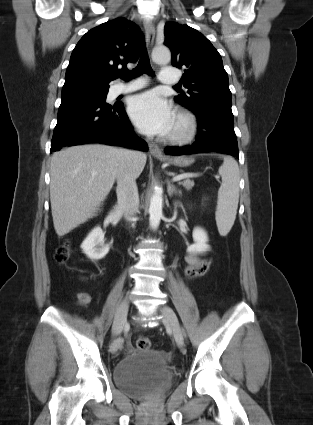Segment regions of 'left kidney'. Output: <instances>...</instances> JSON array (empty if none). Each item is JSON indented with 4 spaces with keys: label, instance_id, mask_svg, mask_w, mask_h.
Here are the masks:
<instances>
[{
    "label": "left kidney",
    "instance_id": "left-kidney-1",
    "mask_svg": "<svg viewBox=\"0 0 313 425\" xmlns=\"http://www.w3.org/2000/svg\"><path fill=\"white\" fill-rule=\"evenodd\" d=\"M193 240L194 244L188 246L187 252L191 254L203 253L209 249L208 237L206 232L201 228H195L193 230Z\"/></svg>",
    "mask_w": 313,
    "mask_h": 425
}]
</instances>
